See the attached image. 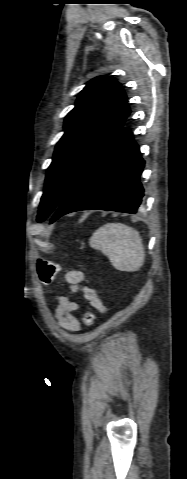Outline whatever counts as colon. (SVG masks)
I'll list each match as a JSON object with an SVG mask.
<instances>
[{"label": "colon", "instance_id": "obj_1", "mask_svg": "<svg viewBox=\"0 0 187 479\" xmlns=\"http://www.w3.org/2000/svg\"><path fill=\"white\" fill-rule=\"evenodd\" d=\"M37 272L40 281L44 284L51 283L61 272V265L55 262L39 259L37 261ZM83 324L90 327L94 324L95 314L93 311H86L82 317Z\"/></svg>", "mask_w": 187, "mask_h": 479}]
</instances>
